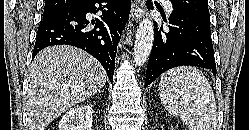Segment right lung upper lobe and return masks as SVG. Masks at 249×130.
<instances>
[{"mask_svg": "<svg viewBox=\"0 0 249 130\" xmlns=\"http://www.w3.org/2000/svg\"><path fill=\"white\" fill-rule=\"evenodd\" d=\"M86 0H45L44 12L66 13L73 11Z\"/></svg>", "mask_w": 249, "mask_h": 130, "instance_id": "cb5924a9", "label": "right lung upper lobe"}]
</instances>
